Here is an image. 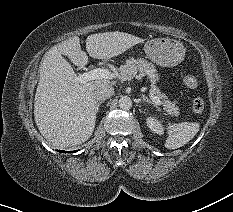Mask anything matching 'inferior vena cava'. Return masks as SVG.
Listing matches in <instances>:
<instances>
[{
  "mask_svg": "<svg viewBox=\"0 0 233 212\" xmlns=\"http://www.w3.org/2000/svg\"><path fill=\"white\" fill-rule=\"evenodd\" d=\"M93 93L97 100H106L114 94V88L107 84H99L94 86Z\"/></svg>",
  "mask_w": 233,
  "mask_h": 212,
  "instance_id": "602c4592",
  "label": "inferior vena cava"
}]
</instances>
